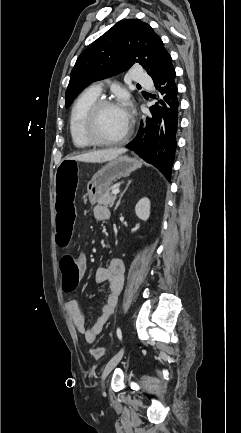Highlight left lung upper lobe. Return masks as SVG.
Listing matches in <instances>:
<instances>
[{"label": "left lung upper lobe", "mask_w": 241, "mask_h": 433, "mask_svg": "<svg viewBox=\"0 0 241 433\" xmlns=\"http://www.w3.org/2000/svg\"><path fill=\"white\" fill-rule=\"evenodd\" d=\"M140 64L153 80L172 64L159 36L147 23L135 19L120 21L78 57L66 90V105L88 84Z\"/></svg>", "instance_id": "5c2ea615"}]
</instances>
